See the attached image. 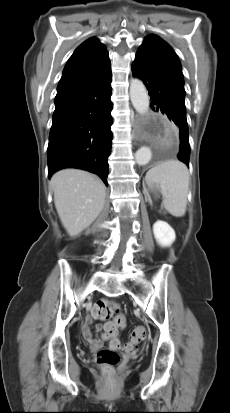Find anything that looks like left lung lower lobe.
I'll return each mask as SVG.
<instances>
[{"instance_id": "obj_1", "label": "left lung lower lobe", "mask_w": 230, "mask_h": 413, "mask_svg": "<svg viewBox=\"0 0 230 413\" xmlns=\"http://www.w3.org/2000/svg\"><path fill=\"white\" fill-rule=\"evenodd\" d=\"M132 73L139 77L149 90L151 108L160 111L178 126L180 149L177 157L189 167L190 147L184 82L164 63L144 51H137Z\"/></svg>"}]
</instances>
